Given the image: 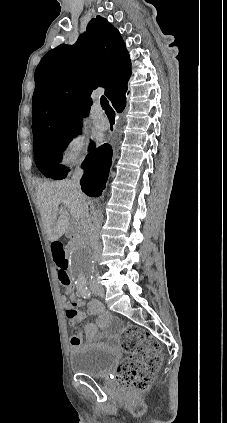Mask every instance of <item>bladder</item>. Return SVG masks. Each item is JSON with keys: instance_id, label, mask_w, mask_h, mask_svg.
I'll return each mask as SVG.
<instances>
[{"instance_id": "bladder-1", "label": "bladder", "mask_w": 227, "mask_h": 423, "mask_svg": "<svg viewBox=\"0 0 227 423\" xmlns=\"http://www.w3.org/2000/svg\"><path fill=\"white\" fill-rule=\"evenodd\" d=\"M118 359L116 352L99 346H91L82 349L71 357L70 369L93 379H101L112 374V369L115 368Z\"/></svg>"}]
</instances>
